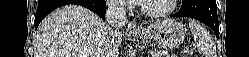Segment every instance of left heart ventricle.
<instances>
[{
  "instance_id": "b2bd125f",
  "label": "left heart ventricle",
  "mask_w": 249,
  "mask_h": 57,
  "mask_svg": "<svg viewBox=\"0 0 249 57\" xmlns=\"http://www.w3.org/2000/svg\"><path fill=\"white\" fill-rule=\"evenodd\" d=\"M170 0H146L143 2L150 11H162L169 6Z\"/></svg>"
}]
</instances>
